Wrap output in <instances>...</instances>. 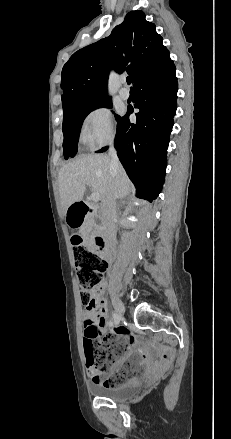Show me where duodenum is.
<instances>
[{
    "instance_id": "duodenum-1",
    "label": "duodenum",
    "mask_w": 231,
    "mask_h": 439,
    "mask_svg": "<svg viewBox=\"0 0 231 439\" xmlns=\"http://www.w3.org/2000/svg\"><path fill=\"white\" fill-rule=\"evenodd\" d=\"M70 209H71V219H72L71 225L73 224V221L79 220L80 222H82L88 216L89 213L94 214L97 212L96 206H90L88 203H85L83 201H79L71 205ZM93 244L107 260L109 261L111 260L104 235L96 234L93 239Z\"/></svg>"
}]
</instances>
